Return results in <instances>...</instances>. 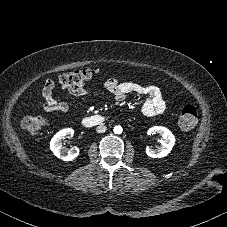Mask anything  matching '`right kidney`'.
<instances>
[{
  "label": "right kidney",
  "mask_w": 227,
  "mask_h": 227,
  "mask_svg": "<svg viewBox=\"0 0 227 227\" xmlns=\"http://www.w3.org/2000/svg\"><path fill=\"white\" fill-rule=\"evenodd\" d=\"M74 130L71 128H65L57 132L50 142V149L54 155L64 161H71L79 155V148L72 147L71 149H66L62 145V141L65 137H72Z\"/></svg>",
  "instance_id": "right-kidney-1"
}]
</instances>
